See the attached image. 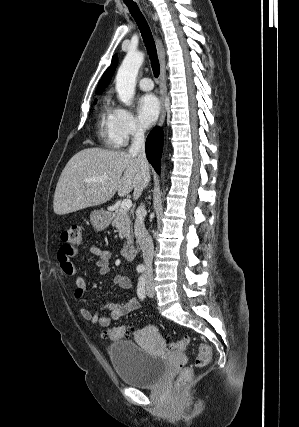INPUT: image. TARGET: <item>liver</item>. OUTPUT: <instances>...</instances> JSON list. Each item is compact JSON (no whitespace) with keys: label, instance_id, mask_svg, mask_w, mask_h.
Listing matches in <instances>:
<instances>
[{"label":"liver","instance_id":"1","mask_svg":"<svg viewBox=\"0 0 299 427\" xmlns=\"http://www.w3.org/2000/svg\"><path fill=\"white\" fill-rule=\"evenodd\" d=\"M107 175L104 180L91 181ZM144 177L136 155L124 151L86 148L76 153L63 169L54 194L55 214L64 215L109 201L116 192L132 190L137 200Z\"/></svg>","mask_w":299,"mask_h":427}]
</instances>
